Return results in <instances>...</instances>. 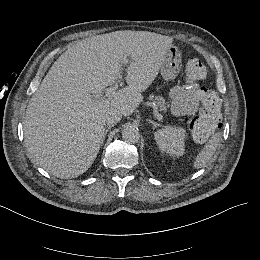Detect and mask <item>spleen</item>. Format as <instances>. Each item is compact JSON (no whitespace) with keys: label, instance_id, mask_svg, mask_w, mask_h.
Returning <instances> with one entry per match:
<instances>
[{"label":"spleen","instance_id":"spleen-1","mask_svg":"<svg viewBox=\"0 0 260 260\" xmlns=\"http://www.w3.org/2000/svg\"><path fill=\"white\" fill-rule=\"evenodd\" d=\"M220 132H217L212 135V137L208 140V142L205 144L204 148L199 152L197 155L194 167L199 169L202 167H205L208 161L212 158L214 153L216 152L218 143L220 141Z\"/></svg>","mask_w":260,"mask_h":260}]
</instances>
